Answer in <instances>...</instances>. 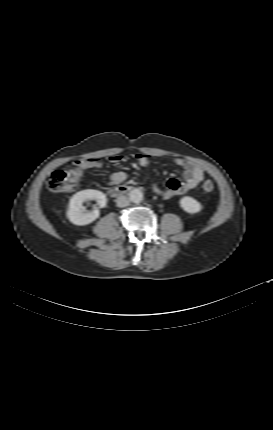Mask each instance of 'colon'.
<instances>
[{"mask_svg": "<svg viewBox=\"0 0 273 430\" xmlns=\"http://www.w3.org/2000/svg\"><path fill=\"white\" fill-rule=\"evenodd\" d=\"M83 168L73 166L68 170L54 171L47 182V187L52 193H66L75 190L81 178ZM202 190L206 193L214 190V184L211 180H206L202 184Z\"/></svg>", "mask_w": 273, "mask_h": 430, "instance_id": "colon-1", "label": "colon"}]
</instances>
